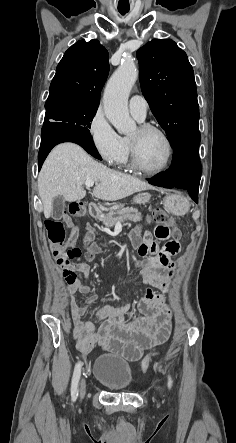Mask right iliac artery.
Returning a JSON list of instances; mask_svg holds the SVG:
<instances>
[{"mask_svg":"<svg viewBox=\"0 0 236 443\" xmlns=\"http://www.w3.org/2000/svg\"><path fill=\"white\" fill-rule=\"evenodd\" d=\"M81 366H82L81 362L77 363L72 377L71 396L73 401H75L78 397V382L81 375Z\"/></svg>","mask_w":236,"mask_h":443,"instance_id":"right-iliac-artery-1","label":"right iliac artery"}]
</instances>
